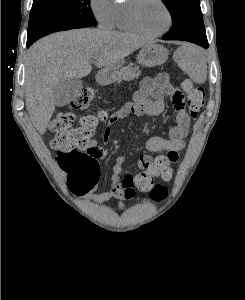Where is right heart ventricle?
I'll return each mask as SVG.
<instances>
[{
	"label": "right heart ventricle",
	"instance_id": "right-heart-ventricle-1",
	"mask_svg": "<svg viewBox=\"0 0 245 300\" xmlns=\"http://www.w3.org/2000/svg\"><path fill=\"white\" fill-rule=\"evenodd\" d=\"M128 3L129 0L115 3L111 27L123 32L140 33L129 21L127 14Z\"/></svg>",
	"mask_w": 245,
	"mask_h": 300
}]
</instances>
